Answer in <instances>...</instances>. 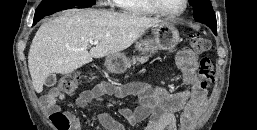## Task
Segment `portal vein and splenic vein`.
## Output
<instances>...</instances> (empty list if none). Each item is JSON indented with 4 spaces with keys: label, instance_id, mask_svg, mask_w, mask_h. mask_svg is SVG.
<instances>
[{
    "label": "portal vein and splenic vein",
    "instance_id": "obj_1",
    "mask_svg": "<svg viewBox=\"0 0 257 130\" xmlns=\"http://www.w3.org/2000/svg\"><path fill=\"white\" fill-rule=\"evenodd\" d=\"M90 43H91V45H97L98 41H91Z\"/></svg>",
    "mask_w": 257,
    "mask_h": 130
}]
</instances>
